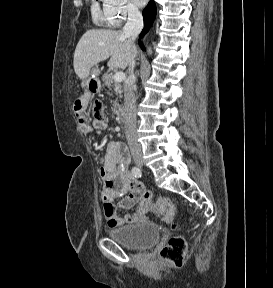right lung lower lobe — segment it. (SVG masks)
Returning <instances> with one entry per match:
<instances>
[{
    "label": "right lung lower lobe",
    "instance_id": "right-lung-lower-lobe-1",
    "mask_svg": "<svg viewBox=\"0 0 273 288\" xmlns=\"http://www.w3.org/2000/svg\"><path fill=\"white\" fill-rule=\"evenodd\" d=\"M156 15V6L153 2V0H151L148 4V6L143 10V17H144V30L141 33V36H143L145 31H148L150 25L152 24L154 18ZM140 47L145 50V47L142 45V43H139Z\"/></svg>",
    "mask_w": 273,
    "mask_h": 288
}]
</instances>
